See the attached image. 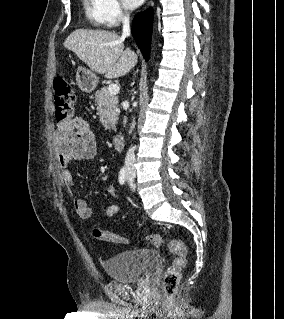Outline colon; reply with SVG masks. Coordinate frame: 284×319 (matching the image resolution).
<instances>
[{
  "label": "colon",
  "instance_id": "obj_1",
  "mask_svg": "<svg viewBox=\"0 0 284 319\" xmlns=\"http://www.w3.org/2000/svg\"><path fill=\"white\" fill-rule=\"evenodd\" d=\"M54 107L57 123H64L72 119L75 109L76 96L70 83L63 77L58 76L54 79ZM95 238L113 242L127 244L129 240L116 233L94 230ZM145 240L155 247L167 243L170 251L174 255L172 265L167 269L163 280V292L166 296L174 293L180 280V272L187 262V250L184 244L174 238H168L161 234H151Z\"/></svg>",
  "mask_w": 284,
  "mask_h": 319
}]
</instances>
